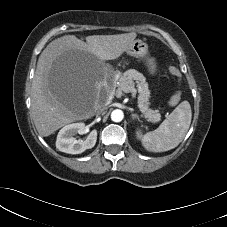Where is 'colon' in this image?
<instances>
[{
	"label": "colon",
	"mask_w": 227,
	"mask_h": 227,
	"mask_svg": "<svg viewBox=\"0 0 227 227\" xmlns=\"http://www.w3.org/2000/svg\"><path fill=\"white\" fill-rule=\"evenodd\" d=\"M169 72H170L172 75L176 76V77H179V76H180L179 70H178L177 68H175V67H170V68H169ZM179 100H180V94H179V93H176V94H174V95L172 96V98H171V100H170V103H171L172 105H175V104H177V103L179 102Z\"/></svg>",
	"instance_id": "5ec220e1"
}]
</instances>
